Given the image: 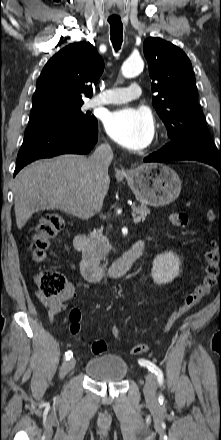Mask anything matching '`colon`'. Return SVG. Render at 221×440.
I'll return each instance as SVG.
<instances>
[{
  "label": "colon",
  "mask_w": 221,
  "mask_h": 440,
  "mask_svg": "<svg viewBox=\"0 0 221 440\" xmlns=\"http://www.w3.org/2000/svg\"><path fill=\"white\" fill-rule=\"evenodd\" d=\"M206 216L209 221L215 219L213 211H208ZM170 221L176 227H187L190 223V217L186 212H173L170 215ZM64 226L65 221L59 215L49 214L43 217L32 236V258L35 262L40 263L45 259L51 239H53ZM205 260L206 268L202 283L194 292L184 298L181 306L168 318L164 326V332H169L181 317L202 302L216 286L219 277H221V240L220 242L212 241L210 243V248L205 254ZM66 284L67 281L65 277L55 271L44 270L39 272L36 276L38 292L47 299L60 296L66 289ZM69 319L71 322V332L78 334L81 330L80 310H71ZM109 330L112 332L114 339L122 338L123 334L118 323L110 322ZM90 349L93 354L101 355L107 351L108 343L103 339L94 340L90 345ZM148 351L149 346L147 344H136L130 348V352L133 354H142Z\"/></svg>",
  "instance_id": "5ec220e1"
}]
</instances>
